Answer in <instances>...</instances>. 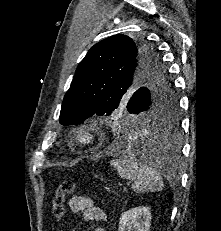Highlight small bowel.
<instances>
[{
  "label": "small bowel",
  "mask_w": 221,
  "mask_h": 231,
  "mask_svg": "<svg viewBox=\"0 0 221 231\" xmlns=\"http://www.w3.org/2000/svg\"><path fill=\"white\" fill-rule=\"evenodd\" d=\"M70 209L74 213H83L88 222L103 223L106 220L105 212L97 207L94 201L86 196H74L70 200ZM94 231H105L103 226H97Z\"/></svg>",
  "instance_id": "c3829d8e"
}]
</instances>
